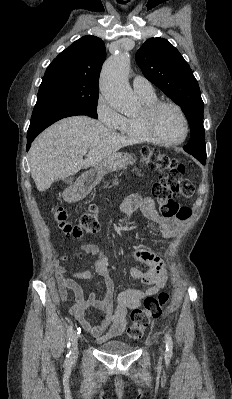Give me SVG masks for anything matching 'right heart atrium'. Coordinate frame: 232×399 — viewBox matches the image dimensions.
Listing matches in <instances>:
<instances>
[{
	"mask_svg": "<svg viewBox=\"0 0 232 399\" xmlns=\"http://www.w3.org/2000/svg\"><path fill=\"white\" fill-rule=\"evenodd\" d=\"M109 104H123V103H105V96L96 105V117L102 121V125H109L110 129H116L123 119V115L114 111Z\"/></svg>",
	"mask_w": 232,
	"mask_h": 399,
	"instance_id": "d8ad5b80",
	"label": "right heart atrium"
}]
</instances>
